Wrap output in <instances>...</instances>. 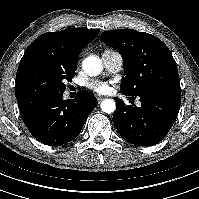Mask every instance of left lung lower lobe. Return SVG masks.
Masks as SVG:
<instances>
[{
  "label": "left lung lower lobe",
  "mask_w": 199,
  "mask_h": 199,
  "mask_svg": "<svg viewBox=\"0 0 199 199\" xmlns=\"http://www.w3.org/2000/svg\"><path fill=\"white\" fill-rule=\"evenodd\" d=\"M139 97L141 107L126 105L115 98L113 123L129 143L152 146L159 143L174 124L181 105V92L154 91Z\"/></svg>",
  "instance_id": "1"
}]
</instances>
